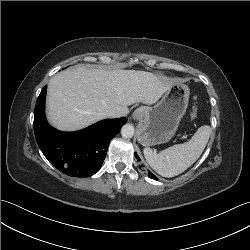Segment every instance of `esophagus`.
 <instances>
[{"mask_svg":"<svg viewBox=\"0 0 250 250\" xmlns=\"http://www.w3.org/2000/svg\"><path fill=\"white\" fill-rule=\"evenodd\" d=\"M138 117H139L138 112H134V113L132 114V118H133V119H137Z\"/></svg>","mask_w":250,"mask_h":250,"instance_id":"obj_1","label":"esophagus"}]
</instances>
